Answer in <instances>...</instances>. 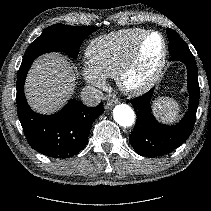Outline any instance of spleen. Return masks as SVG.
<instances>
[{
  "label": "spleen",
  "instance_id": "spleen-1",
  "mask_svg": "<svg viewBox=\"0 0 211 211\" xmlns=\"http://www.w3.org/2000/svg\"><path fill=\"white\" fill-rule=\"evenodd\" d=\"M154 113L163 122H174L179 116V105L173 99L161 97L154 101Z\"/></svg>",
  "mask_w": 211,
  "mask_h": 211
}]
</instances>
